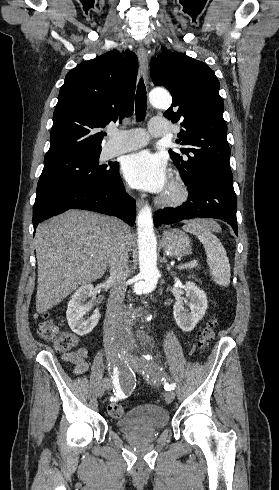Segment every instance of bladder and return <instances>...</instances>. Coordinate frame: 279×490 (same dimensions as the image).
<instances>
[{
  "label": "bladder",
  "instance_id": "1",
  "mask_svg": "<svg viewBox=\"0 0 279 490\" xmlns=\"http://www.w3.org/2000/svg\"><path fill=\"white\" fill-rule=\"evenodd\" d=\"M168 425V413L159 405H139L116 420L119 431L146 432L161 430Z\"/></svg>",
  "mask_w": 279,
  "mask_h": 490
}]
</instances>
